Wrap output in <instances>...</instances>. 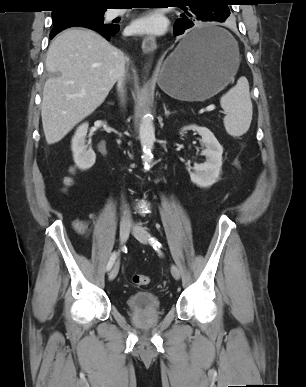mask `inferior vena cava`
I'll return each instance as SVG.
<instances>
[{
  "label": "inferior vena cava",
  "mask_w": 306,
  "mask_h": 387,
  "mask_svg": "<svg viewBox=\"0 0 306 387\" xmlns=\"http://www.w3.org/2000/svg\"><path fill=\"white\" fill-rule=\"evenodd\" d=\"M125 77H126L125 67H123V69H122V71L119 74L118 79H117V89H118V91L121 94L124 93V80H125ZM121 220H122V222H130L131 221V217H130V214H129L127 209H125L123 211V216H122Z\"/></svg>",
  "instance_id": "obj_1"
}]
</instances>
